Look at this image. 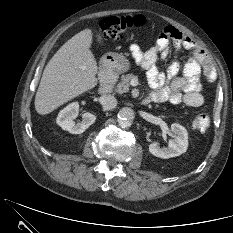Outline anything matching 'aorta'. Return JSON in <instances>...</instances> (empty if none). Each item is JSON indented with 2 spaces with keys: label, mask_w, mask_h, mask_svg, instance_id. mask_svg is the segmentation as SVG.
I'll use <instances>...</instances> for the list:
<instances>
[{
  "label": "aorta",
  "mask_w": 233,
  "mask_h": 233,
  "mask_svg": "<svg viewBox=\"0 0 233 233\" xmlns=\"http://www.w3.org/2000/svg\"><path fill=\"white\" fill-rule=\"evenodd\" d=\"M135 118L134 111L129 107H124L118 112V124L122 128L130 127Z\"/></svg>",
  "instance_id": "aorta-1"
}]
</instances>
